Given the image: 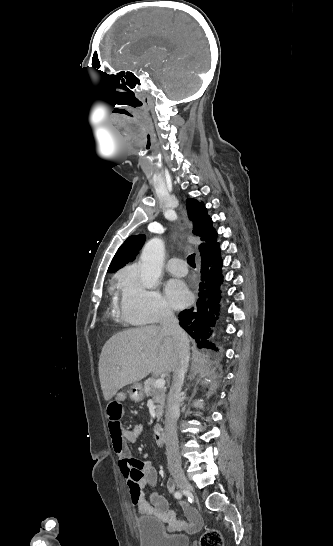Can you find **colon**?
<instances>
[{
	"label": "colon",
	"instance_id": "obj_1",
	"mask_svg": "<svg viewBox=\"0 0 333 546\" xmlns=\"http://www.w3.org/2000/svg\"><path fill=\"white\" fill-rule=\"evenodd\" d=\"M119 398L109 401L106 406L107 419L109 422H118L123 417L124 411ZM221 534L216 530L206 532L201 539V546H222Z\"/></svg>",
	"mask_w": 333,
	"mask_h": 546
}]
</instances>
